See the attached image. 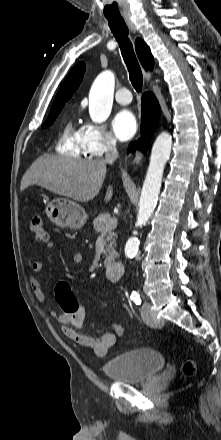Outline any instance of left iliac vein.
<instances>
[{
    "label": "left iliac vein",
    "instance_id": "left-iliac-vein-1",
    "mask_svg": "<svg viewBox=\"0 0 221 440\" xmlns=\"http://www.w3.org/2000/svg\"><path fill=\"white\" fill-rule=\"evenodd\" d=\"M141 316L143 321L151 327L158 328L162 325V322L153 316L151 312V305L148 302H145L142 305Z\"/></svg>",
    "mask_w": 221,
    "mask_h": 440
}]
</instances>
